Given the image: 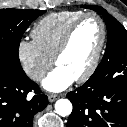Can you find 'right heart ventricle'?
<instances>
[{"label": "right heart ventricle", "mask_w": 127, "mask_h": 127, "mask_svg": "<svg viewBox=\"0 0 127 127\" xmlns=\"http://www.w3.org/2000/svg\"><path fill=\"white\" fill-rule=\"evenodd\" d=\"M82 14L81 11H61L43 17L31 31L33 40L45 55L53 58L65 32Z\"/></svg>", "instance_id": "e07e8e85"}]
</instances>
